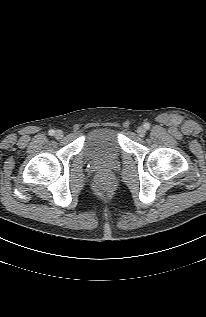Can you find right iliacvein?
I'll return each mask as SVG.
<instances>
[{
  "mask_svg": "<svg viewBox=\"0 0 206 317\" xmlns=\"http://www.w3.org/2000/svg\"><path fill=\"white\" fill-rule=\"evenodd\" d=\"M55 138L56 139H61L62 137H63V131L62 130H56V132H55Z\"/></svg>",
  "mask_w": 206,
  "mask_h": 317,
  "instance_id": "obj_1",
  "label": "right iliac vein"
}]
</instances>
